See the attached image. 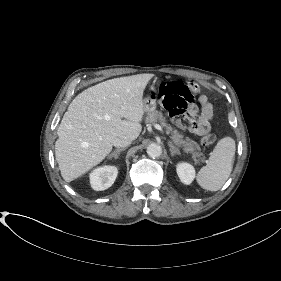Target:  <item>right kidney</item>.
<instances>
[{
    "label": "right kidney",
    "instance_id": "ca27d5eb",
    "mask_svg": "<svg viewBox=\"0 0 281 281\" xmlns=\"http://www.w3.org/2000/svg\"><path fill=\"white\" fill-rule=\"evenodd\" d=\"M118 174L115 166H102L90 173L91 187L96 191L105 190L112 186Z\"/></svg>",
    "mask_w": 281,
    "mask_h": 281
}]
</instances>
